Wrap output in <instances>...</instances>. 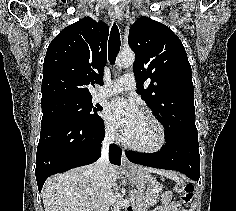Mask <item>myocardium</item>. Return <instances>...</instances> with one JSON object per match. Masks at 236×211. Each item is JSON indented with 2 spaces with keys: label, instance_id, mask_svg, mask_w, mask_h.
Masks as SVG:
<instances>
[{
  "label": "myocardium",
  "instance_id": "myocardium-1",
  "mask_svg": "<svg viewBox=\"0 0 236 211\" xmlns=\"http://www.w3.org/2000/svg\"><path fill=\"white\" fill-rule=\"evenodd\" d=\"M143 117H145L146 119H148L149 121H151L158 129L159 131V142L156 146L152 147V148H145V147H140L137 145H134L132 143H130L125 137H123V144L124 146H126L127 148L139 152V153H146V154H153V153H158L160 151H162L164 149V147L166 146V142H167V135H166V130L163 126V124L152 114L148 113V112H144L142 113Z\"/></svg>",
  "mask_w": 236,
  "mask_h": 211
}]
</instances>
